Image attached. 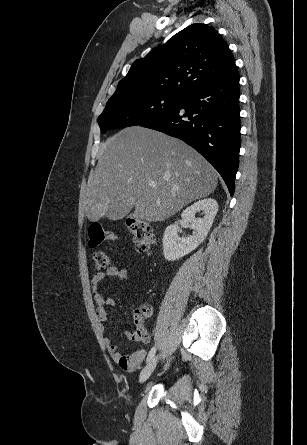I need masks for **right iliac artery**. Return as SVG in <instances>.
<instances>
[{"label": "right iliac artery", "mask_w": 307, "mask_h": 445, "mask_svg": "<svg viewBox=\"0 0 307 445\" xmlns=\"http://www.w3.org/2000/svg\"><path fill=\"white\" fill-rule=\"evenodd\" d=\"M155 352H156V348L152 347L151 350L148 353V356H147V359H146L147 362L150 361L154 357Z\"/></svg>", "instance_id": "82829eb1"}]
</instances>
